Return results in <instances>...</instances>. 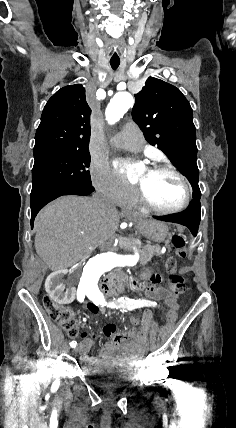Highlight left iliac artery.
<instances>
[{"label":"left iliac artery","instance_id":"1","mask_svg":"<svg viewBox=\"0 0 236 428\" xmlns=\"http://www.w3.org/2000/svg\"><path fill=\"white\" fill-rule=\"evenodd\" d=\"M85 294L87 295V297L96 305H102L106 306L107 302L104 299L103 294L100 291H87L85 292ZM115 300V298H114ZM118 302L120 303V305H115L114 302H110L107 307H111V308H116L118 309L119 307H123V311L126 312V310H124V308H127L128 310H133L135 308H140L143 306H155L156 302H151L148 300H134V299H129V298H124L121 297L118 299ZM122 311V310H121Z\"/></svg>","mask_w":236,"mask_h":428}]
</instances>
